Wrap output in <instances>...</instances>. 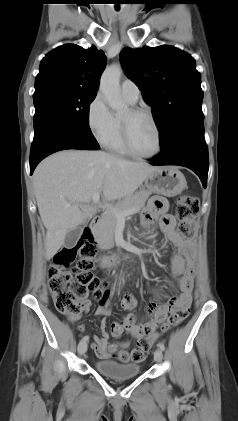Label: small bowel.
<instances>
[{"label": "small bowel", "mask_w": 238, "mask_h": 421, "mask_svg": "<svg viewBox=\"0 0 238 421\" xmlns=\"http://www.w3.org/2000/svg\"><path fill=\"white\" fill-rule=\"evenodd\" d=\"M167 202L162 197H153L148 202L144 210L141 222L145 228H149L157 219L159 225L168 240L175 247V254L172 257L171 266L173 274L178 278V293L175 297L168 299L166 302L150 301L146 308L147 321H138L131 313L137 307V301L130 293H126L122 300L121 306L128 311L123 319L114 322L111 325V335L118 339L124 332H128L133 338H140L147 335L156 334V330L162 324L173 308H189L193 298V280L195 274V249L179 231L176 230V222L172 215L167 213ZM162 298L161 294H158ZM110 291L105 290L104 296L99 302L95 315L99 318L100 335L93 338L92 348L99 358L107 359L117 354L119 351L128 348L129 342H110V334L107 331L106 316L110 314ZM90 306V302L86 301V309ZM78 316L70 317L71 321H76ZM81 331L84 330L80 326Z\"/></svg>", "instance_id": "c3829d8e"}]
</instances>
